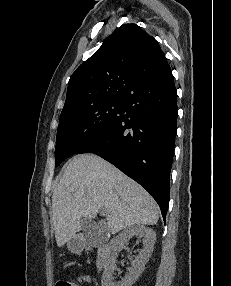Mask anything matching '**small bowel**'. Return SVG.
I'll list each match as a JSON object with an SVG mask.
<instances>
[{
    "mask_svg": "<svg viewBox=\"0 0 231 286\" xmlns=\"http://www.w3.org/2000/svg\"><path fill=\"white\" fill-rule=\"evenodd\" d=\"M88 281H89V278L86 277V276H83V277L80 278V282L81 283L88 282Z\"/></svg>",
    "mask_w": 231,
    "mask_h": 286,
    "instance_id": "c3829d8e",
    "label": "small bowel"
}]
</instances>
